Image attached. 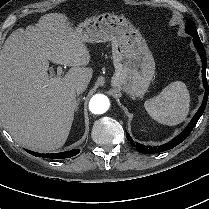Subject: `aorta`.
<instances>
[{
	"mask_svg": "<svg viewBox=\"0 0 209 209\" xmlns=\"http://www.w3.org/2000/svg\"><path fill=\"white\" fill-rule=\"evenodd\" d=\"M110 106V101L106 95L96 94L89 101V110L93 114H103Z\"/></svg>",
	"mask_w": 209,
	"mask_h": 209,
	"instance_id": "762f6f07",
	"label": "aorta"
}]
</instances>
